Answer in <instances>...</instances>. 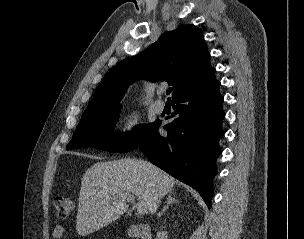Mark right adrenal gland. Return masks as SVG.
Segmentation results:
<instances>
[{
    "label": "right adrenal gland",
    "mask_w": 304,
    "mask_h": 239,
    "mask_svg": "<svg viewBox=\"0 0 304 239\" xmlns=\"http://www.w3.org/2000/svg\"><path fill=\"white\" fill-rule=\"evenodd\" d=\"M178 202L177 199L172 197V192H169L168 197H167V203L163 207L162 211L158 213V219L162 216V214L169 208L170 204Z\"/></svg>",
    "instance_id": "obj_1"
}]
</instances>
